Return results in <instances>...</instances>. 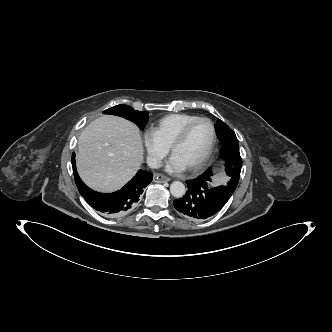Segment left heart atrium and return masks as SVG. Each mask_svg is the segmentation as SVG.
Listing matches in <instances>:
<instances>
[{"label":"left heart atrium","mask_w":332,"mask_h":332,"mask_svg":"<svg viewBox=\"0 0 332 332\" xmlns=\"http://www.w3.org/2000/svg\"><path fill=\"white\" fill-rule=\"evenodd\" d=\"M185 169L184 164L174 155L171 156L166 164V170L171 173H179Z\"/></svg>","instance_id":"39dd6f15"}]
</instances>
